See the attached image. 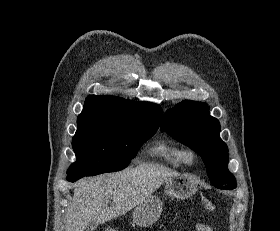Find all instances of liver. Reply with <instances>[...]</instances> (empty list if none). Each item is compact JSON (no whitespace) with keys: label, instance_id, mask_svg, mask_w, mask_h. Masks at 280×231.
Instances as JSON below:
<instances>
[{"label":"liver","instance_id":"obj_1","mask_svg":"<svg viewBox=\"0 0 280 231\" xmlns=\"http://www.w3.org/2000/svg\"><path fill=\"white\" fill-rule=\"evenodd\" d=\"M174 175H179L178 171L158 163H141L116 173L79 179L66 211L67 231H84L89 221L105 223L113 217L124 215L143 203L166 179ZM110 199L113 201L108 207Z\"/></svg>","mask_w":280,"mask_h":231}]
</instances>
